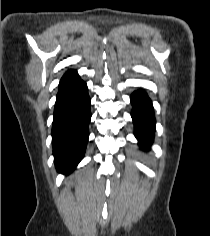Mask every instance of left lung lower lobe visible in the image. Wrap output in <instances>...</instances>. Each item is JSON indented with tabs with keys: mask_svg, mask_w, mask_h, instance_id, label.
<instances>
[{
	"mask_svg": "<svg viewBox=\"0 0 210 236\" xmlns=\"http://www.w3.org/2000/svg\"><path fill=\"white\" fill-rule=\"evenodd\" d=\"M131 102L135 136L141 148L148 149L155 131V118L151 100L145 93L137 91L132 94Z\"/></svg>",
	"mask_w": 210,
	"mask_h": 236,
	"instance_id": "1",
	"label": "left lung lower lobe"
}]
</instances>
